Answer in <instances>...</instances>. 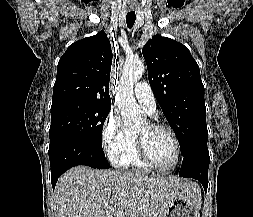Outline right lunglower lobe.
Instances as JSON below:
<instances>
[{
    "label": "right lung lower lobe",
    "instance_id": "obj_1",
    "mask_svg": "<svg viewBox=\"0 0 253 217\" xmlns=\"http://www.w3.org/2000/svg\"><path fill=\"white\" fill-rule=\"evenodd\" d=\"M48 153L53 188L58 178L71 167L86 165L98 169L110 168L104 153L79 138H63L54 141L50 143Z\"/></svg>",
    "mask_w": 253,
    "mask_h": 217
}]
</instances>
